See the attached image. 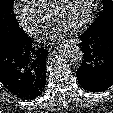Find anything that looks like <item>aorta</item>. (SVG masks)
<instances>
[{
	"mask_svg": "<svg viewBox=\"0 0 113 113\" xmlns=\"http://www.w3.org/2000/svg\"><path fill=\"white\" fill-rule=\"evenodd\" d=\"M59 51L70 62L79 63L83 59V51L73 41L63 42L59 47Z\"/></svg>",
	"mask_w": 113,
	"mask_h": 113,
	"instance_id": "762f6f07",
	"label": "aorta"
}]
</instances>
